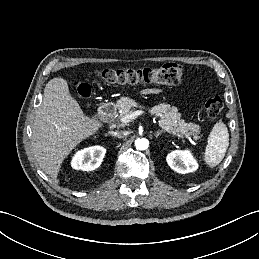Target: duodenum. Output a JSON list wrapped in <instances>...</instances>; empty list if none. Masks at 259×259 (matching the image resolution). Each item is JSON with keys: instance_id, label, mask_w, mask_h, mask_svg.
Returning a JSON list of instances; mask_svg holds the SVG:
<instances>
[{"instance_id": "1", "label": "duodenum", "mask_w": 259, "mask_h": 259, "mask_svg": "<svg viewBox=\"0 0 259 259\" xmlns=\"http://www.w3.org/2000/svg\"><path fill=\"white\" fill-rule=\"evenodd\" d=\"M99 115L106 120L114 115V105L112 103H105L99 107Z\"/></svg>"}]
</instances>
